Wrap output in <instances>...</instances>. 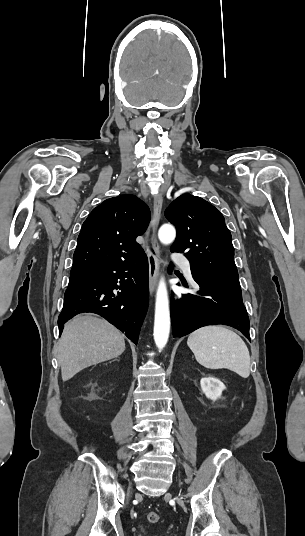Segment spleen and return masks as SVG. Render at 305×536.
<instances>
[{
  "label": "spleen",
  "instance_id": "obj_1",
  "mask_svg": "<svg viewBox=\"0 0 305 536\" xmlns=\"http://www.w3.org/2000/svg\"><path fill=\"white\" fill-rule=\"evenodd\" d=\"M187 344L198 364L209 370L227 368L241 378L250 374V356L246 344L224 326H205L190 334Z\"/></svg>",
  "mask_w": 305,
  "mask_h": 536
}]
</instances>
